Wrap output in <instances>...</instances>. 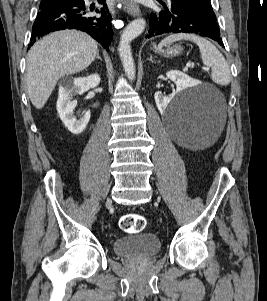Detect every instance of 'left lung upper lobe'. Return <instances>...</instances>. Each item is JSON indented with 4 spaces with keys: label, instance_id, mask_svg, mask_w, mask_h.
<instances>
[{
    "label": "left lung upper lobe",
    "instance_id": "5c2ea615",
    "mask_svg": "<svg viewBox=\"0 0 267 301\" xmlns=\"http://www.w3.org/2000/svg\"><path fill=\"white\" fill-rule=\"evenodd\" d=\"M182 3L189 4L195 10L202 12L207 17L216 20L215 13L211 7L210 0H176Z\"/></svg>",
    "mask_w": 267,
    "mask_h": 301
}]
</instances>
